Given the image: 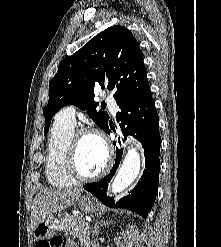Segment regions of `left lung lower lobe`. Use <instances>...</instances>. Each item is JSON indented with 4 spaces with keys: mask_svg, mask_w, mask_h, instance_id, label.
<instances>
[{
    "mask_svg": "<svg viewBox=\"0 0 221 247\" xmlns=\"http://www.w3.org/2000/svg\"><path fill=\"white\" fill-rule=\"evenodd\" d=\"M119 108L121 111L116 114V120L121 122V134L125 139L127 135H132L141 142L144 148L146 168L143 175L129 195L119 201L108 198L105 194L107 182L115 174L122 155V150L116 148V160L110 173L99 182L86 184L84 189L108 207L128 209L146 218L155 202L158 191L160 170L159 119L151 93L123 102L119 104ZM109 125L112 128L111 123H109L105 130L108 134L110 133ZM118 142L120 144V140Z\"/></svg>",
    "mask_w": 221,
    "mask_h": 247,
    "instance_id": "0a47b994",
    "label": "left lung lower lobe"
}]
</instances>
